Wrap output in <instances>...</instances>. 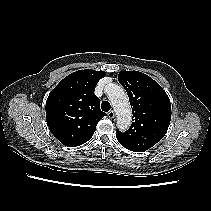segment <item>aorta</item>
Here are the masks:
<instances>
[{
  "mask_svg": "<svg viewBox=\"0 0 211 211\" xmlns=\"http://www.w3.org/2000/svg\"><path fill=\"white\" fill-rule=\"evenodd\" d=\"M108 97L117 115L118 128L120 130L128 129L131 124L132 112L125 90L120 85L111 84Z\"/></svg>",
  "mask_w": 211,
  "mask_h": 211,
  "instance_id": "obj_1",
  "label": "aorta"
}]
</instances>
